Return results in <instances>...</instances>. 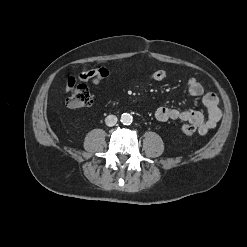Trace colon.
I'll return each mask as SVG.
<instances>
[{
    "mask_svg": "<svg viewBox=\"0 0 247 247\" xmlns=\"http://www.w3.org/2000/svg\"><path fill=\"white\" fill-rule=\"evenodd\" d=\"M104 79V75L101 73L96 74L92 81L93 83H99ZM92 103V96L88 87L84 84H80L73 88L70 95L66 99V105L69 108H82L88 107ZM185 135L194 134L196 127L191 124H184L181 128Z\"/></svg>",
    "mask_w": 247,
    "mask_h": 247,
    "instance_id": "colon-1",
    "label": "colon"
}]
</instances>
